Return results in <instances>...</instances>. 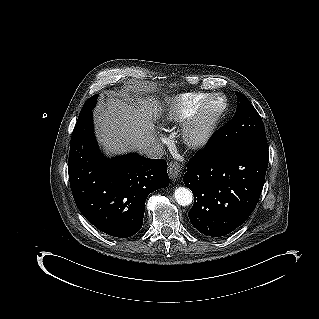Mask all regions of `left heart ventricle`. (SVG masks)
<instances>
[{"label":"left heart ventricle","mask_w":319,"mask_h":319,"mask_svg":"<svg viewBox=\"0 0 319 319\" xmlns=\"http://www.w3.org/2000/svg\"><path fill=\"white\" fill-rule=\"evenodd\" d=\"M221 104H222L221 100H215L214 102H212L210 106L208 107L207 115L212 116L213 114H215L221 107Z\"/></svg>","instance_id":"1"}]
</instances>
